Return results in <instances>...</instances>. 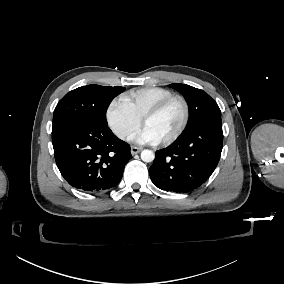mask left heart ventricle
Returning a JSON list of instances; mask_svg holds the SVG:
<instances>
[{
  "mask_svg": "<svg viewBox=\"0 0 284 284\" xmlns=\"http://www.w3.org/2000/svg\"><path fill=\"white\" fill-rule=\"evenodd\" d=\"M182 116L183 105L180 101H175L158 116L144 120L142 126L148 128L160 142L176 131Z\"/></svg>",
  "mask_w": 284,
  "mask_h": 284,
  "instance_id": "left-heart-ventricle-1",
  "label": "left heart ventricle"
}]
</instances>
